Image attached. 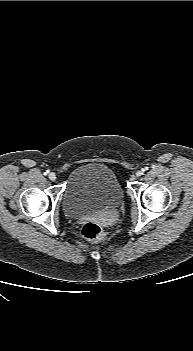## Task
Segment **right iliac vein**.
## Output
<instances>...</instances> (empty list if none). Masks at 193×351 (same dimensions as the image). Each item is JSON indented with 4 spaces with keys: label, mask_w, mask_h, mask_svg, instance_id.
I'll use <instances>...</instances> for the list:
<instances>
[{
    "label": "right iliac vein",
    "mask_w": 193,
    "mask_h": 351,
    "mask_svg": "<svg viewBox=\"0 0 193 351\" xmlns=\"http://www.w3.org/2000/svg\"><path fill=\"white\" fill-rule=\"evenodd\" d=\"M49 179L51 181H55L56 180V174L54 172H51L49 175H48Z\"/></svg>",
    "instance_id": "63e3f726"
}]
</instances>
